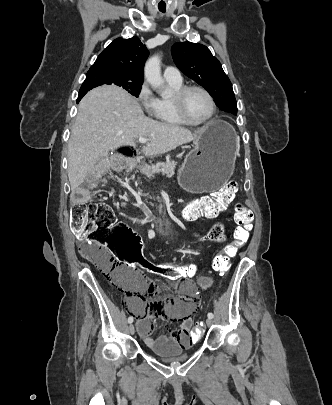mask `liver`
<instances>
[{
    "label": "liver",
    "mask_w": 332,
    "mask_h": 405,
    "mask_svg": "<svg viewBox=\"0 0 332 405\" xmlns=\"http://www.w3.org/2000/svg\"><path fill=\"white\" fill-rule=\"evenodd\" d=\"M201 130H190L145 116L139 103L122 88L101 86L80 101L68 142V178L77 189L97 169V162L109 151L133 145L136 138L148 139L142 151L157 156L196 140Z\"/></svg>",
    "instance_id": "6515ba94"
}]
</instances>
